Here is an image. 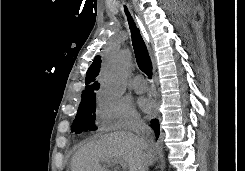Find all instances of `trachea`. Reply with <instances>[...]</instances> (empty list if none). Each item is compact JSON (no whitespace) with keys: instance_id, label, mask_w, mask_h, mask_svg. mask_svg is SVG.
<instances>
[{"instance_id":"trachea-1","label":"trachea","mask_w":245,"mask_h":171,"mask_svg":"<svg viewBox=\"0 0 245 171\" xmlns=\"http://www.w3.org/2000/svg\"><path fill=\"white\" fill-rule=\"evenodd\" d=\"M124 12L127 16L128 24L132 34V44L137 60V64L142 72L149 78H152V62L147 51L145 42L143 41L139 29L136 27L128 9L124 7Z\"/></svg>"}]
</instances>
